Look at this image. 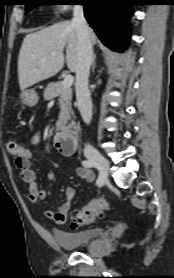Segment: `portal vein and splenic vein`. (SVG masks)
<instances>
[{"label":"portal vein and splenic vein","mask_w":174,"mask_h":278,"mask_svg":"<svg viewBox=\"0 0 174 278\" xmlns=\"http://www.w3.org/2000/svg\"><path fill=\"white\" fill-rule=\"evenodd\" d=\"M52 55L54 56L55 53H53ZM73 81H74L73 76L72 75H67L62 82V87L70 88L73 84Z\"/></svg>","instance_id":"18ae733b"}]
</instances>
